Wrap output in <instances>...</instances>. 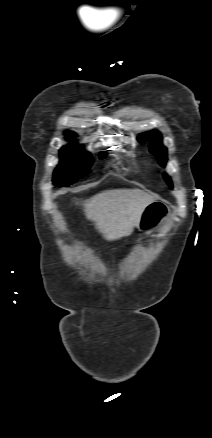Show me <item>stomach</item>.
<instances>
[{
    "label": "stomach",
    "mask_w": 212,
    "mask_h": 438,
    "mask_svg": "<svg viewBox=\"0 0 212 438\" xmlns=\"http://www.w3.org/2000/svg\"><path fill=\"white\" fill-rule=\"evenodd\" d=\"M170 218L171 211L169 207L161 201H153L145 207L138 229L144 234H152Z\"/></svg>",
    "instance_id": "obj_1"
}]
</instances>
